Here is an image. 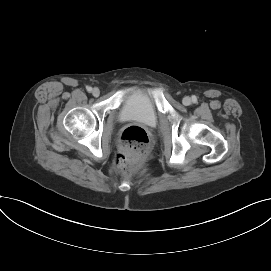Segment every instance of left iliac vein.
Listing matches in <instances>:
<instances>
[{"label":"left iliac vein","mask_w":271,"mask_h":271,"mask_svg":"<svg viewBox=\"0 0 271 271\" xmlns=\"http://www.w3.org/2000/svg\"><path fill=\"white\" fill-rule=\"evenodd\" d=\"M182 102H183L184 105H190L192 100H191L190 97H184Z\"/></svg>","instance_id":"obj_1"}]
</instances>
